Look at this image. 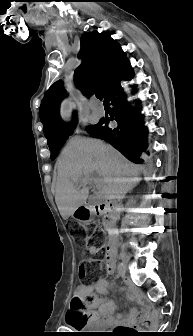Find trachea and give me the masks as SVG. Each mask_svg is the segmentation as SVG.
Instances as JSON below:
<instances>
[{
    "mask_svg": "<svg viewBox=\"0 0 193 336\" xmlns=\"http://www.w3.org/2000/svg\"><path fill=\"white\" fill-rule=\"evenodd\" d=\"M96 97L99 99V100H102L103 97H102V94L100 92H97L96 93Z\"/></svg>",
    "mask_w": 193,
    "mask_h": 336,
    "instance_id": "3493384b",
    "label": "trachea"
}]
</instances>
